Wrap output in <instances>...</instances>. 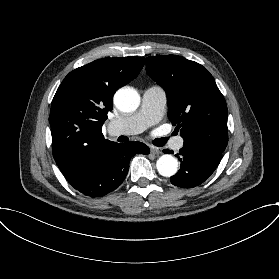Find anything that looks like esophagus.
<instances>
[{"mask_svg": "<svg viewBox=\"0 0 279 279\" xmlns=\"http://www.w3.org/2000/svg\"><path fill=\"white\" fill-rule=\"evenodd\" d=\"M150 152H151V154H153V155H158V154L160 153V150H159V148H157V147H155V146H151V147H150Z\"/></svg>", "mask_w": 279, "mask_h": 279, "instance_id": "obj_1", "label": "esophagus"}]
</instances>
